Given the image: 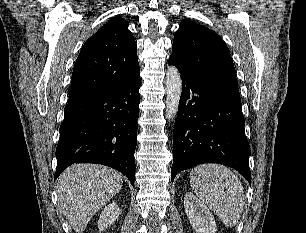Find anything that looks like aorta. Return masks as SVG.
I'll list each match as a JSON object with an SVG mask.
<instances>
[{
    "label": "aorta",
    "mask_w": 306,
    "mask_h": 233,
    "mask_svg": "<svg viewBox=\"0 0 306 233\" xmlns=\"http://www.w3.org/2000/svg\"><path fill=\"white\" fill-rule=\"evenodd\" d=\"M182 92V80L178 69L169 66L166 72V116L173 119L178 111Z\"/></svg>",
    "instance_id": "762f6f07"
}]
</instances>
